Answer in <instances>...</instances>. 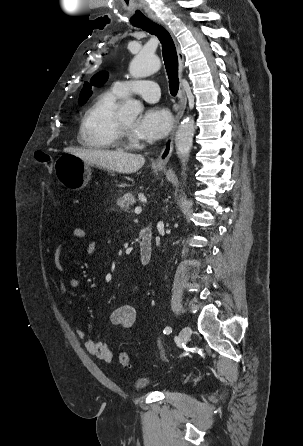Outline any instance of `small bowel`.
Listing matches in <instances>:
<instances>
[{
	"label": "small bowel",
	"mask_w": 303,
	"mask_h": 446,
	"mask_svg": "<svg viewBox=\"0 0 303 446\" xmlns=\"http://www.w3.org/2000/svg\"><path fill=\"white\" fill-rule=\"evenodd\" d=\"M71 235L74 240L83 241L87 238V234L84 229L80 227H75L71 231ZM95 244L89 242L87 250L92 253ZM64 248V243L59 244L56 248L54 254V265L58 273V287L60 292L64 295V298L68 304H72V300L68 293L72 289H78L81 286V281L75 277H67L66 270L61 262V254ZM136 309L131 305H123L116 308L110 316L111 322L115 325H120L122 327L128 328L135 323L136 320ZM78 336L81 339H85V348L87 352L105 362H111L113 354L109 347L102 343L93 340L86 339V334L83 330L79 329L77 331Z\"/></svg>",
	"instance_id": "c3829d8e"
}]
</instances>
